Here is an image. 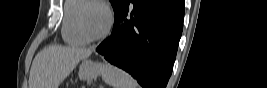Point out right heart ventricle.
Instances as JSON below:
<instances>
[{"instance_id":"right-heart-ventricle-1","label":"right heart ventricle","mask_w":267,"mask_h":88,"mask_svg":"<svg viewBox=\"0 0 267 88\" xmlns=\"http://www.w3.org/2000/svg\"><path fill=\"white\" fill-rule=\"evenodd\" d=\"M89 0H69L64 6V20L62 25V37L70 45L81 46L87 41L80 35L77 26V14L82 5Z\"/></svg>"}]
</instances>
